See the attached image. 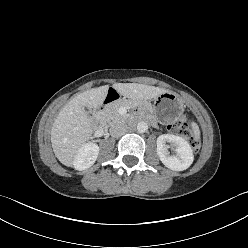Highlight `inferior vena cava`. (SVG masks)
<instances>
[{"mask_svg": "<svg viewBox=\"0 0 248 248\" xmlns=\"http://www.w3.org/2000/svg\"><path fill=\"white\" fill-rule=\"evenodd\" d=\"M127 132V127L122 123H115L110 127V134L113 137H120Z\"/></svg>", "mask_w": 248, "mask_h": 248, "instance_id": "1", "label": "inferior vena cava"}]
</instances>
